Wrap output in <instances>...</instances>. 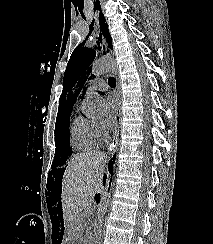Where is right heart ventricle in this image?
I'll return each mask as SVG.
<instances>
[{
    "mask_svg": "<svg viewBox=\"0 0 213 244\" xmlns=\"http://www.w3.org/2000/svg\"><path fill=\"white\" fill-rule=\"evenodd\" d=\"M70 139L72 146L79 151L93 149L98 144V136L94 121L76 116L70 124Z\"/></svg>",
    "mask_w": 213,
    "mask_h": 244,
    "instance_id": "right-heart-ventricle-1",
    "label": "right heart ventricle"
}]
</instances>
